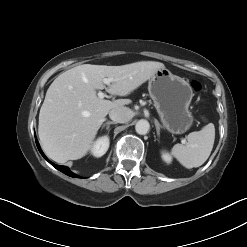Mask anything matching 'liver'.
<instances>
[{
	"label": "liver",
	"instance_id": "6515ba94",
	"mask_svg": "<svg viewBox=\"0 0 247 247\" xmlns=\"http://www.w3.org/2000/svg\"><path fill=\"white\" fill-rule=\"evenodd\" d=\"M165 66L141 61L121 66L83 64L60 74L47 90L39 113L38 134L43 150L64 163L82 158L110 110L128 105L129 99L104 100L97 89L127 96ZM104 78H114L106 87Z\"/></svg>",
	"mask_w": 247,
	"mask_h": 247
}]
</instances>
